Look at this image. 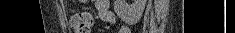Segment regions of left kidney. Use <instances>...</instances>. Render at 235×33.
I'll return each instance as SVG.
<instances>
[{"instance_id":"1","label":"left kidney","mask_w":235,"mask_h":33,"mask_svg":"<svg viewBox=\"0 0 235 33\" xmlns=\"http://www.w3.org/2000/svg\"><path fill=\"white\" fill-rule=\"evenodd\" d=\"M147 0H134L132 4H127L126 0H115L114 11L124 22L132 24L137 22L145 9Z\"/></svg>"}]
</instances>
